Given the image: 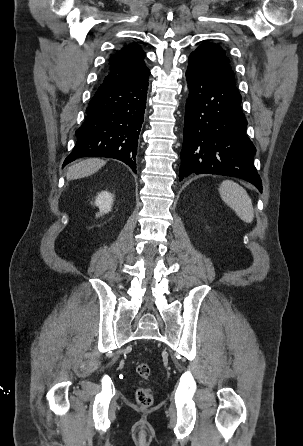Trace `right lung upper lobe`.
<instances>
[{
  "instance_id": "1",
  "label": "right lung upper lobe",
  "mask_w": 303,
  "mask_h": 446,
  "mask_svg": "<svg viewBox=\"0 0 303 446\" xmlns=\"http://www.w3.org/2000/svg\"><path fill=\"white\" fill-rule=\"evenodd\" d=\"M145 52L138 44H130L110 56L106 76L98 91L137 81L149 74L144 64Z\"/></svg>"
}]
</instances>
